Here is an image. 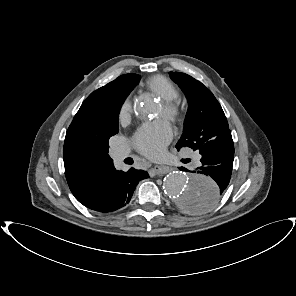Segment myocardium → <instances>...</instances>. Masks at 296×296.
Masks as SVG:
<instances>
[{
  "mask_svg": "<svg viewBox=\"0 0 296 296\" xmlns=\"http://www.w3.org/2000/svg\"><path fill=\"white\" fill-rule=\"evenodd\" d=\"M163 115L172 123H177L182 116V110L179 103L174 101H162Z\"/></svg>",
  "mask_w": 296,
  "mask_h": 296,
  "instance_id": "1",
  "label": "myocardium"
}]
</instances>
